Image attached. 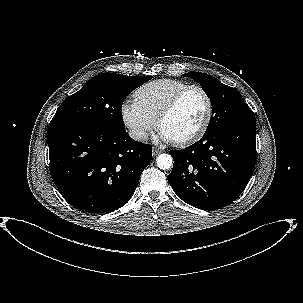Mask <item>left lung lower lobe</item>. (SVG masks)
Instances as JSON below:
<instances>
[{
	"mask_svg": "<svg viewBox=\"0 0 303 303\" xmlns=\"http://www.w3.org/2000/svg\"><path fill=\"white\" fill-rule=\"evenodd\" d=\"M256 122L205 133L184 150H172L168 182L187 204L205 210L233 202L244 190L256 163Z\"/></svg>",
	"mask_w": 303,
	"mask_h": 303,
	"instance_id": "obj_1",
	"label": "left lung lower lobe"
}]
</instances>
